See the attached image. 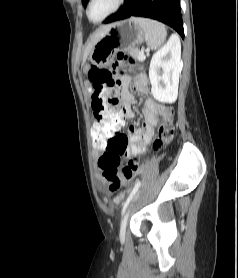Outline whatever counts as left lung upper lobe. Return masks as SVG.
Masks as SVG:
<instances>
[{
  "mask_svg": "<svg viewBox=\"0 0 238 278\" xmlns=\"http://www.w3.org/2000/svg\"><path fill=\"white\" fill-rule=\"evenodd\" d=\"M86 1H88V0H83V4H84Z\"/></svg>",
  "mask_w": 238,
  "mask_h": 278,
  "instance_id": "1",
  "label": "left lung upper lobe"
}]
</instances>
